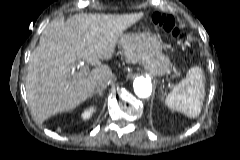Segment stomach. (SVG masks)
<instances>
[{"label": "stomach", "instance_id": "stomach-1", "mask_svg": "<svg viewBox=\"0 0 240 160\" xmlns=\"http://www.w3.org/2000/svg\"><path fill=\"white\" fill-rule=\"evenodd\" d=\"M120 46L128 59L141 61L154 76L169 72L170 60L162 52L161 42L156 35L149 32L125 34Z\"/></svg>", "mask_w": 240, "mask_h": 160}]
</instances>
